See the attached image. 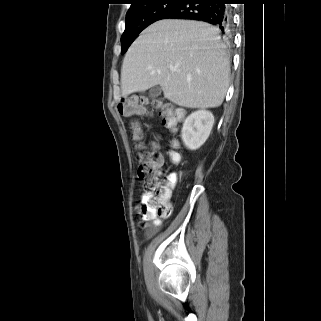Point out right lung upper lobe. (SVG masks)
Instances as JSON below:
<instances>
[{
    "label": "right lung upper lobe",
    "mask_w": 321,
    "mask_h": 321,
    "mask_svg": "<svg viewBox=\"0 0 321 321\" xmlns=\"http://www.w3.org/2000/svg\"><path fill=\"white\" fill-rule=\"evenodd\" d=\"M149 1H152V0H131V6L130 7H135V6H139V5H142L146 2H149Z\"/></svg>",
    "instance_id": "1"
}]
</instances>
